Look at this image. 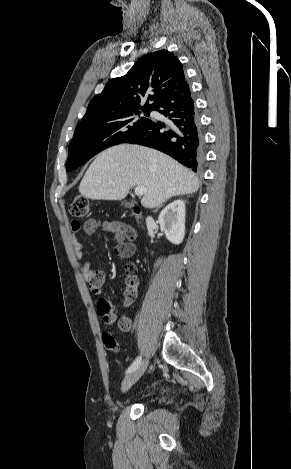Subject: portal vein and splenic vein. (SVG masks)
I'll return each instance as SVG.
<instances>
[{"instance_id":"1","label":"portal vein and splenic vein","mask_w":291,"mask_h":469,"mask_svg":"<svg viewBox=\"0 0 291 469\" xmlns=\"http://www.w3.org/2000/svg\"><path fill=\"white\" fill-rule=\"evenodd\" d=\"M145 193V188L143 186H137L135 188V194L137 196H142Z\"/></svg>"}]
</instances>
